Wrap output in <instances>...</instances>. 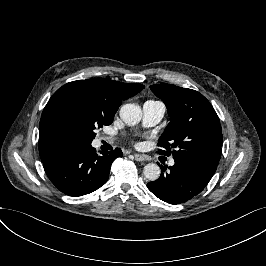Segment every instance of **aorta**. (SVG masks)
<instances>
[{
    "label": "aorta",
    "instance_id": "1",
    "mask_svg": "<svg viewBox=\"0 0 266 266\" xmlns=\"http://www.w3.org/2000/svg\"><path fill=\"white\" fill-rule=\"evenodd\" d=\"M120 117L127 125H137L142 119V109L137 104H125L120 110ZM143 174L149 181H155L160 177L161 169L157 164L149 163L144 167Z\"/></svg>",
    "mask_w": 266,
    "mask_h": 266
}]
</instances>
